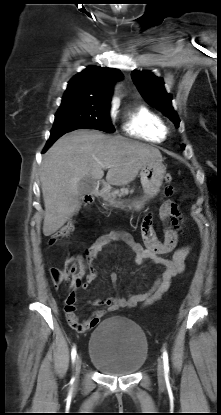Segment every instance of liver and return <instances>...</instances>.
I'll use <instances>...</instances> for the list:
<instances>
[{"mask_svg": "<svg viewBox=\"0 0 221 415\" xmlns=\"http://www.w3.org/2000/svg\"><path fill=\"white\" fill-rule=\"evenodd\" d=\"M162 162L160 151L150 145L96 130L80 129L58 139L41 164V190L45 213L43 234L60 229L78 209V182L89 176L101 180L103 164H109L106 181L122 186L132 182L144 165Z\"/></svg>", "mask_w": 221, "mask_h": 415, "instance_id": "obj_1", "label": "liver"}]
</instances>
